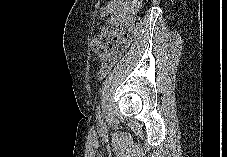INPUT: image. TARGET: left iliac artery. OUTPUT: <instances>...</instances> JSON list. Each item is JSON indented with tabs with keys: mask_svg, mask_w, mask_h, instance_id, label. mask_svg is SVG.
<instances>
[{
	"mask_svg": "<svg viewBox=\"0 0 227 157\" xmlns=\"http://www.w3.org/2000/svg\"><path fill=\"white\" fill-rule=\"evenodd\" d=\"M100 112H101V109H100V106L97 107V113L99 115V118H100Z\"/></svg>",
	"mask_w": 227,
	"mask_h": 157,
	"instance_id": "left-iliac-artery-1",
	"label": "left iliac artery"
}]
</instances>
